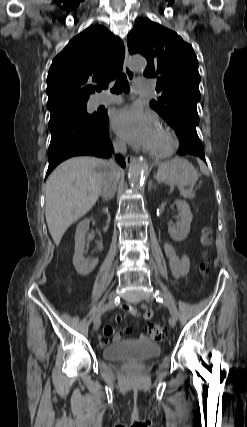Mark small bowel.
Wrapping results in <instances>:
<instances>
[{
	"instance_id": "obj_1",
	"label": "small bowel",
	"mask_w": 247,
	"mask_h": 427,
	"mask_svg": "<svg viewBox=\"0 0 247 427\" xmlns=\"http://www.w3.org/2000/svg\"><path fill=\"white\" fill-rule=\"evenodd\" d=\"M164 251L169 260V265L173 275L177 278L184 276L188 272L189 268V259L187 255H178L174 247L169 244H164ZM126 310L135 316H138V312L134 306H127ZM143 319H150L153 316V312L151 309L145 308L143 313L140 314ZM115 320L117 322L122 321V315L117 313L115 315ZM132 332V328H125L124 332H116L112 325H105L103 328V338L101 339V344L106 345L109 342V338L112 337L114 342L121 341L125 335H129ZM146 335H141L140 339H146Z\"/></svg>"
}]
</instances>
